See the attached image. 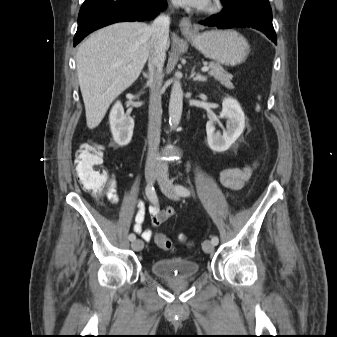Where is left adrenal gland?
I'll list each match as a JSON object with an SVG mask.
<instances>
[{
    "label": "left adrenal gland",
    "mask_w": 337,
    "mask_h": 337,
    "mask_svg": "<svg viewBox=\"0 0 337 337\" xmlns=\"http://www.w3.org/2000/svg\"><path fill=\"white\" fill-rule=\"evenodd\" d=\"M191 77L193 78L194 81L205 82V81L207 80V77H206V76H202V75H200V74H196V73L194 72V69L192 70Z\"/></svg>",
    "instance_id": "left-adrenal-gland-1"
}]
</instances>
